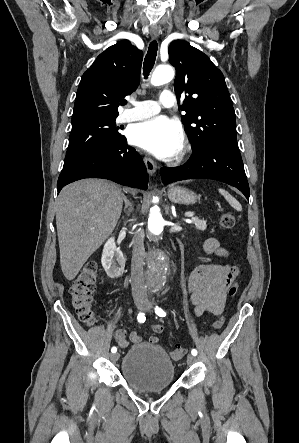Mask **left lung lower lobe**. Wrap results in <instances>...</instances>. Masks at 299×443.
Returning a JSON list of instances; mask_svg holds the SVG:
<instances>
[{"instance_id": "obj_1", "label": "left lung lower lobe", "mask_w": 299, "mask_h": 443, "mask_svg": "<svg viewBox=\"0 0 299 443\" xmlns=\"http://www.w3.org/2000/svg\"><path fill=\"white\" fill-rule=\"evenodd\" d=\"M164 184L185 179H214L238 188L249 200L250 191L238 148L224 144H208L193 150L182 166L161 169Z\"/></svg>"}]
</instances>
